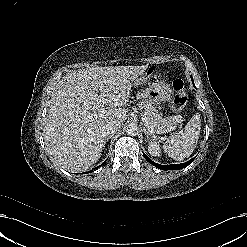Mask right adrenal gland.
Wrapping results in <instances>:
<instances>
[{
  "instance_id": "1",
  "label": "right adrenal gland",
  "mask_w": 247,
  "mask_h": 247,
  "mask_svg": "<svg viewBox=\"0 0 247 247\" xmlns=\"http://www.w3.org/2000/svg\"><path fill=\"white\" fill-rule=\"evenodd\" d=\"M113 137V135H109L106 138L103 139L102 143H103V148L105 147L106 142H108L109 139H111Z\"/></svg>"
}]
</instances>
